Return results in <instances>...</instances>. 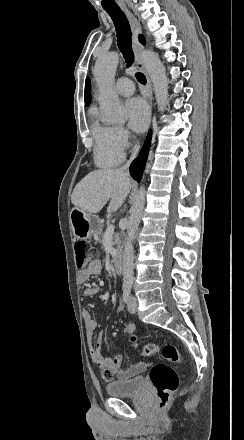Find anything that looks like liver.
Masks as SVG:
<instances>
[{"mask_svg": "<svg viewBox=\"0 0 244 440\" xmlns=\"http://www.w3.org/2000/svg\"><path fill=\"white\" fill-rule=\"evenodd\" d=\"M130 190L131 182L126 172L110 168L94 170L75 186L71 202L88 214H98L110 200L107 212L112 214L121 208Z\"/></svg>", "mask_w": 244, "mask_h": 440, "instance_id": "obj_1", "label": "liver"}]
</instances>
